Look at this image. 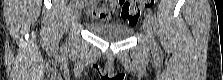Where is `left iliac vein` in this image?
Instances as JSON below:
<instances>
[{
    "label": "left iliac vein",
    "instance_id": "4c4485c4",
    "mask_svg": "<svg viewBox=\"0 0 223 80\" xmlns=\"http://www.w3.org/2000/svg\"><path fill=\"white\" fill-rule=\"evenodd\" d=\"M143 30L149 40L150 45L153 47L155 45L154 38H153V32H152V26L149 19L146 17L143 21Z\"/></svg>",
    "mask_w": 223,
    "mask_h": 80
}]
</instances>
